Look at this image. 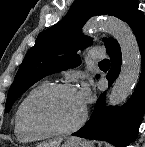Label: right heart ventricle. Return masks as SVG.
Listing matches in <instances>:
<instances>
[{"label": "right heart ventricle", "instance_id": "obj_1", "mask_svg": "<svg viewBox=\"0 0 145 147\" xmlns=\"http://www.w3.org/2000/svg\"><path fill=\"white\" fill-rule=\"evenodd\" d=\"M49 85L47 81H42L41 83L37 84L35 87H33L19 102L15 114H14V133L16 135V138L18 141L23 143H29V142H35L42 139H45L48 134L30 128L25 120H24V107L28 100V98L38 90L46 87Z\"/></svg>", "mask_w": 145, "mask_h": 147}]
</instances>
